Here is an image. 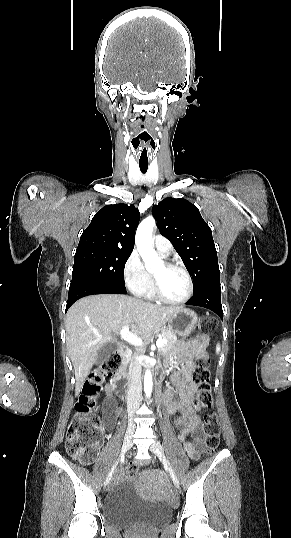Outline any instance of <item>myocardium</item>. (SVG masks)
Returning <instances> with one entry per match:
<instances>
[{
  "instance_id": "f54148a6",
  "label": "myocardium",
  "mask_w": 291,
  "mask_h": 538,
  "mask_svg": "<svg viewBox=\"0 0 291 538\" xmlns=\"http://www.w3.org/2000/svg\"><path fill=\"white\" fill-rule=\"evenodd\" d=\"M163 264L166 268L180 270L185 275L188 283V290L186 294L180 299H169L162 293L158 279L154 275H152V290L155 297L167 304L179 305L186 303L191 298L194 291V283L189 271L180 263L166 261Z\"/></svg>"
}]
</instances>
